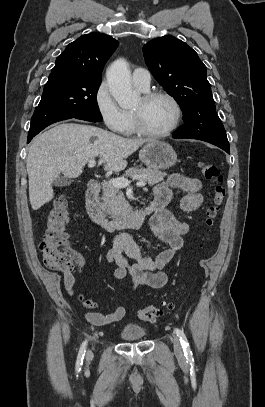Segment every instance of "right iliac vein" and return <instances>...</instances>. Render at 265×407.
Instances as JSON below:
<instances>
[{"label": "right iliac vein", "mask_w": 265, "mask_h": 407, "mask_svg": "<svg viewBox=\"0 0 265 407\" xmlns=\"http://www.w3.org/2000/svg\"><path fill=\"white\" fill-rule=\"evenodd\" d=\"M92 356H93L92 352H91V351H88V353H87V360H88V361L91 360V359H92Z\"/></svg>", "instance_id": "63e3f726"}]
</instances>
